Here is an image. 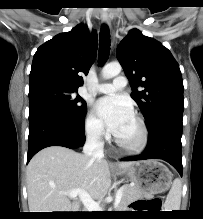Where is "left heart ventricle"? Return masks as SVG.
Segmentation results:
<instances>
[{
	"label": "left heart ventricle",
	"mask_w": 203,
	"mask_h": 219,
	"mask_svg": "<svg viewBox=\"0 0 203 219\" xmlns=\"http://www.w3.org/2000/svg\"><path fill=\"white\" fill-rule=\"evenodd\" d=\"M116 136L124 143L134 145L139 142L141 132L138 123L131 117L119 130Z\"/></svg>",
	"instance_id": "left-heart-ventricle-1"
}]
</instances>
